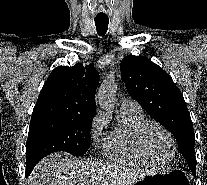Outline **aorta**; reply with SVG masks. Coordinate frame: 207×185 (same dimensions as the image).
<instances>
[{"mask_svg":"<svg viewBox=\"0 0 207 185\" xmlns=\"http://www.w3.org/2000/svg\"><path fill=\"white\" fill-rule=\"evenodd\" d=\"M117 91V83L113 72L103 80L98 89V103L101 109L110 110L114 105Z\"/></svg>","mask_w":207,"mask_h":185,"instance_id":"aorta-1","label":"aorta"}]
</instances>
